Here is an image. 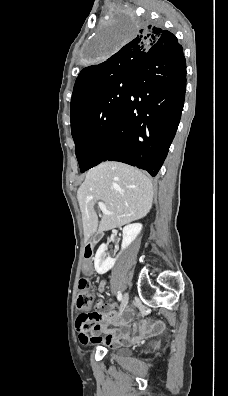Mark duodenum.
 <instances>
[{
	"mask_svg": "<svg viewBox=\"0 0 228 396\" xmlns=\"http://www.w3.org/2000/svg\"><path fill=\"white\" fill-rule=\"evenodd\" d=\"M86 251H91V246L90 245H88Z\"/></svg>",
	"mask_w": 228,
	"mask_h": 396,
	"instance_id": "410a0bca",
	"label": "duodenum"
}]
</instances>
